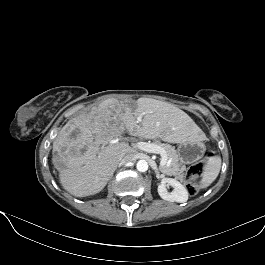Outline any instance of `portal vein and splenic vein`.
Listing matches in <instances>:
<instances>
[{
    "instance_id": "1",
    "label": "portal vein and splenic vein",
    "mask_w": 265,
    "mask_h": 265,
    "mask_svg": "<svg viewBox=\"0 0 265 265\" xmlns=\"http://www.w3.org/2000/svg\"><path fill=\"white\" fill-rule=\"evenodd\" d=\"M113 143L115 142L113 141ZM136 145L139 149L147 153L160 154L161 155V161H160L161 166H165L169 164L167 153L162 147L154 143H149V142H138Z\"/></svg>"
}]
</instances>
